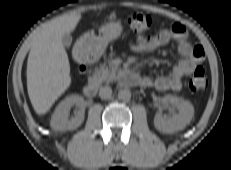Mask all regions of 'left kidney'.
<instances>
[{
    "instance_id": "1",
    "label": "left kidney",
    "mask_w": 231,
    "mask_h": 170,
    "mask_svg": "<svg viewBox=\"0 0 231 170\" xmlns=\"http://www.w3.org/2000/svg\"><path fill=\"white\" fill-rule=\"evenodd\" d=\"M166 104H170L178 109V114L172 118L165 119L160 113H157L154 118V125L157 130L163 133H174L183 130L190 123L194 116L193 105L183 98L166 95L163 98Z\"/></svg>"
}]
</instances>
